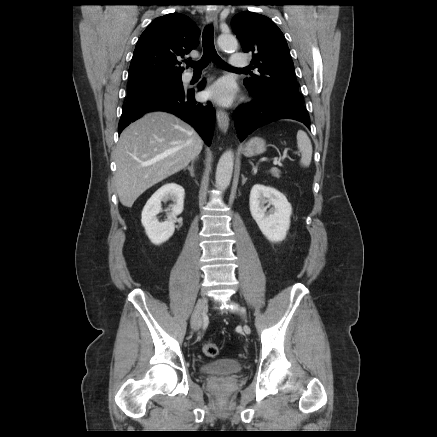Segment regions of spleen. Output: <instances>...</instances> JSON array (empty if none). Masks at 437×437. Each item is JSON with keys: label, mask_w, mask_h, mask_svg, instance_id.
Wrapping results in <instances>:
<instances>
[{"label": "spleen", "mask_w": 437, "mask_h": 437, "mask_svg": "<svg viewBox=\"0 0 437 437\" xmlns=\"http://www.w3.org/2000/svg\"><path fill=\"white\" fill-rule=\"evenodd\" d=\"M297 146L301 152L300 164L304 167H308L312 159V144L311 141L303 130L297 132Z\"/></svg>", "instance_id": "1"}]
</instances>
